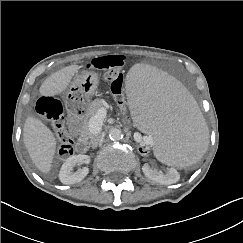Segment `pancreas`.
Returning <instances> with one entry per match:
<instances>
[{"instance_id":"obj_1","label":"pancreas","mask_w":243,"mask_h":243,"mask_svg":"<svg viewBox=\"0 0 243 243\" xmlns=\"http://www.w3.org/2000/svg\"><path fill=\"white\" fill-rule=\"evenodd\" d=\"M105 102L101 99H95L92 101L87 109L86 118L83 120L82 127H81V136L85 139H92L94 134L90 132L89 129V122L90 119L97 113V111L103 107Z\"/></svg>"}]
</instances>
